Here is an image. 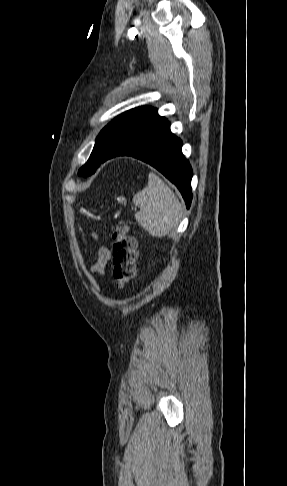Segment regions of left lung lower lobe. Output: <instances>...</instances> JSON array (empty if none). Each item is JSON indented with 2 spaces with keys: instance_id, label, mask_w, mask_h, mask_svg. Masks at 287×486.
Instances as JSON below:
<instances>
[{
  "instance_id": "1",
  "label": "left lung lower lobe",
  "mask_w": 287,
  "mask_h": 486,
  "mask_svg": "<svg viewBox=\"0 0 287 486\" xmlns=\"http://www.w3.org/2000/svg\"><path fill=\"white\" fill-rule=\"evenodd\" d=\"M181 147V140L171 133L170 123L166 121L138 149L125 155L142 160L159 170L177 186L189 208L192 200V169Z\"/></svg>"
}]
</instances>
